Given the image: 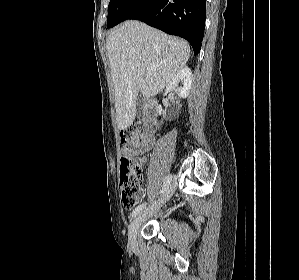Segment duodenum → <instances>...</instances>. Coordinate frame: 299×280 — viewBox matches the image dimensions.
Segmentation results:
<instances>
[{
	"label": "duodenum",
	"mask_w": 299,
	"mask_h": 280,
	"mask_svg": "<svg viewBox=\"0 0 299 280\" xmlns=\"http://www.w3.org/2000/svg\"><path fill=\"white\" fill-rule=\"evenodd\" d=\"M156 111L157 101L155 99H150L145 105V126L149 131H152L154 129Z\"/></svg>",
	"instance_id": "1"
}]
</instances>
